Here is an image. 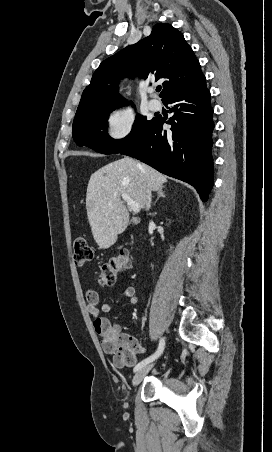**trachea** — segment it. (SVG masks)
Returning a JSON list of instances; mask_svg holds the SVG:
<instances>
[{"label": "trachea", "instance_id": "obj_1", "mask_svg": "<svg viewBox=\"0 0 272 452\" xmlns=\"http://www.w3.org/2000/svg\"><path fill=\"white\" fill-rule=\"evenodd\" d=\"M156 91H157V92H160V91H161V88H157Z\"/></svg>", "mask_w": 272, "mask_h": 452}]
</instances>
